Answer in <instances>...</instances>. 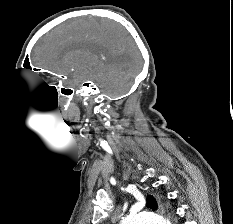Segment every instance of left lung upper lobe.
Returning <instances> with one entry per match:
<instances>
[{"label":"left lung upper lobe","instance_id":"1","mask_svg":"<svg viewBox=\"0 0 233 224\" xmlns=\"http://www.w3.org/2000/svg\"><path fill=\"white\" fill-rule=\"evenodd\" d=\"M146 206L148 208L152 209V210L157 209V203H156L155 199L152 196L147 197V205Z\"/></svg>","mask_w":233,"mask_h":224}]
</instances>
